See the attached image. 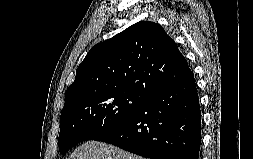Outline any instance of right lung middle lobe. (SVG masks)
Returning <instances> with one entry per match:
<instances>
[{
	"instance_id": "dd1d6c3e",
	"label": "right lung middle lobe",
	"mask_w": 253,
	"mask_h": 159,
	"mask_svg": "<svg viewBox=\"0 0 253 159\" xmlns=\"http://www.w3.org/2000/svg\"><path fill=\"white\" fill-rule=\"evenodd\" d=\"M146 96L135 92H99L69 101L61 112L59 152L93 139L128 118Z\"/></svg>"
}]
</instances>
